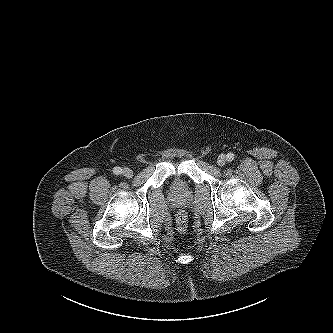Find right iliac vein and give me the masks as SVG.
I'll return each instance as SVG.
<instances>
[{"label": "right iliac vein", "instance_id": "right-iliac-vein-1", "mask_svg": "<svg viewBox=\"0 0 333 333\" xmlns=\"http://www.w3.org/2000/svg\"><path fill=\"white\" fill-rule=\"evenodd\" d=\"M122 173L127 178H132L133 177V171L130 168H124L122 170Z\"/></svg>", "mask_w": 333, "mask_h": 333}]
</instances>
